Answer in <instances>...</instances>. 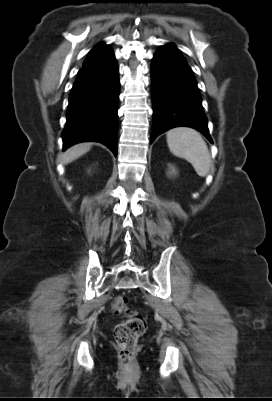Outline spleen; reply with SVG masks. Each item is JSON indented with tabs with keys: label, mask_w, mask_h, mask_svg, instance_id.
Instances as JSON below:
<instances>
[{
	"label": "spleen",
	"mask_w": 272,
	"mask_h": 401,
	"mask_svg": "<svg viewBox=\"0 0 272 401\" xmlns=\"http://www.w3.org/2000/svg\"><path fill=\"white\" fill-rule=\"evenodd\" d=\"M167 144L177 157L192 164L200 177H205L210 170L211 156L201 135L190 128H176L167 132Z\"/></svg>",
	"instance_id": "1"
}]
</instances>
